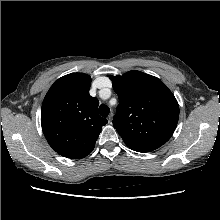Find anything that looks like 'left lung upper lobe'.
Masks as SVG:
<instances>
[{
  "label": "left lung upper lobe",
  "mask_w": 220,
  "mask_h": 220,
  "mask_svg": "<svg viewBox=\"0 0 220 220\" xmlns=\"http://www.w3.org/2000/svg\"><path fill=\"white\" fill-rule=\"evenodd\" d=\"M109 78L120 101L113 125L125 144L150 152L166 143L179 118L178 102L167 86L157 77L134 70Z\"/></svg>",
  "instance_id": "5c2ea615"
}]
</instances>
